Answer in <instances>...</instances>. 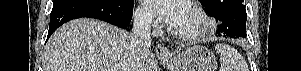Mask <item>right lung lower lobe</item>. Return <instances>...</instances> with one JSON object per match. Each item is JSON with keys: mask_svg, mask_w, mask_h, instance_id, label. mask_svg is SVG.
I'll return each instance as SVG.
<instances>
[{"mask_svg": "<svg viewBox=\"0 0 301 71\" xmlns=\"http://www.w3.org/2000/svg\"><path fill=\"white\" fill-rule=\"evenodd\" d=\"M134 0H62L53 5L47 39L62 24L89 17L125 28L133 15Z\"/></svg>", "mask_w": 301, "mask_h": 71, "instance_id": "1", "label": "right lung lower lobe"}]
</instances>
